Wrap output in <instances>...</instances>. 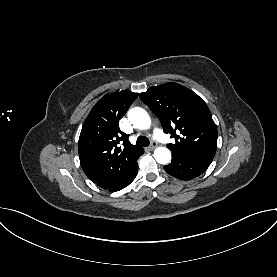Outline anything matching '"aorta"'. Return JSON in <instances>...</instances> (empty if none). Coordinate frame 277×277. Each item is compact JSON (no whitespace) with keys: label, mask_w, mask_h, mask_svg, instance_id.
I'll return each instance as SVG.
<instances>
[{"label":"aorta","mask_w":277,"mask_h":277,"mask_svg":"<svg viewBox=\"0 0 277 277\" xmlns=\"http://www.w3.org/2000/svg\"><path fill=\"white\" fill-rule=\"evenodd\" d=\"M128 120L137 129H147L151 125V120L148 113L140 108L135 107L129 110ZM154 158L160 164H167L171 160V152L166 147H158L154 151Z\"/></svg>","instance_id":"1"}]
</instances>
